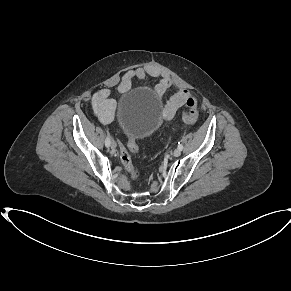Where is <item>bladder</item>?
Listing matches in <instances>:
<instances>
[{
  "mask_svg": "<svg viewBox=\"0 0 291 291\" xmlns=\"http://www.w3.org/2000/svg\"><path fill=\"white\" fill-rule=\"evenodd\" d=\"M159 101L143 88L124 94L119 114L121 130L135 141L148 138L159 128L157 111Z\"/></svg>",
  "mask_w": 291,
  "mask_h": 291,
  "instance_id": "obj_1",
  "label": "bladder"
}]
</instances>
